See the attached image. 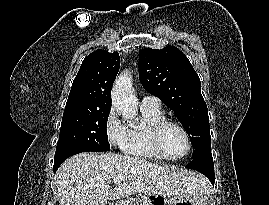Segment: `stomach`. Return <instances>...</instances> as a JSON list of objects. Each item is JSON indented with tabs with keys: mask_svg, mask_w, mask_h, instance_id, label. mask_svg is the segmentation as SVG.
<instances>
[{
	"mask_svg": "<svg viewBox=\"0 0 269 205\" xmlns=\"http://www.w3.org/2000/svg\"><path fill=\"white\" fill-rule=\"evenodd\" d=\"M116 205H131L128 200H123ZM133 205H207L204 192L198 194L176 195L172 198L155 194H145Z\"/></svg>",
	"mask_w": 269,
	"mask_h": 205,
	"instance_id": "1",
	"label": "stomach"
}]
</instances>
